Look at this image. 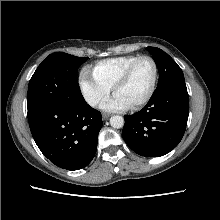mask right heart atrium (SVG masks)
<instances>
[{
    "mask_svg": "<svg viewBox=\"0 0 220 220\" xmlns=\"http://www.w3.org/2000/svg\"><path fill=\"white\" fill-rule=\"evenodd\" d=\"M81 94L88 105L98 106L111 92V87L101 82L89 68H84L79 75Z\"/></svg>",
    "mask_w": 220,
    "mask_h": 220,
    "instance_id": "1",
    "label": "right heart atrium"
}]
</instances>
